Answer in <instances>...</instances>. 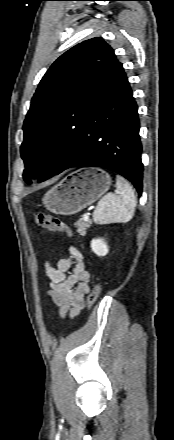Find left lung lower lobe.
Returning <instances> with one entry per match:
<instances>
[{
    "mask_svg": "<svg viewBox=\"0 0 174 440\" xmlns=\"http://www.w3.org/2000/svg\"><path fill=\"white\" fill-rule=\"evenodd\" d=\"M138 107L121 63L85 120L77 154L61 170L97 166L130 180L142 193ZM60 172V173H61Z\"/></svg>",
    "mask_w": 174,
    "mask_h": 440,
    "instance_id": "left-lung-lower-lobe-1",
    "label": "left lung lower lobe"
}]
</instances>
